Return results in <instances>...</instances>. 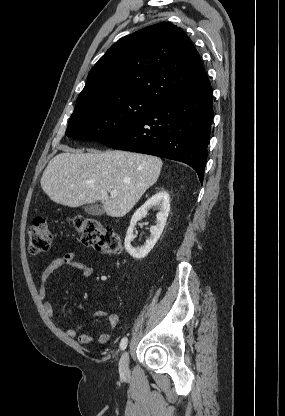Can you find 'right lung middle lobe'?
Instances as JSON below:
<instances>
[{"label":"right lung middle lobe","instance_id":"1","mask_svg":"<svg viewBox=\"0 0 285 416\" xmlns=\"http://www.w3.org/2000/svg\"><path fill=\"white\" fill-rule=\"evenodd\" d=\"M158 104L140 97H126L74 110L65 135L84 141H100L133 125Z\"/></svg>","mask_w":285,"mask_h":416}]
</instances>
